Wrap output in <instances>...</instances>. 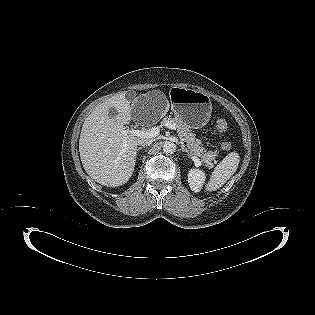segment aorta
I'll return each mask as SVG.
<instances>
[{"mask_svg":"<svg viewBox=\"0 0 315 315\" xmlns=\"http://www.w3.org/2000/svg\"><path fill=\"white\" fill-rule=\"evenodd\" d=\"M163 151L167 154H172L176 151V145L173 142L166 141L163 144Z\"/></svg>","mask_w":315,"mask_h":315,"instance_id":"1","label":"aorta"}]
</instances>
